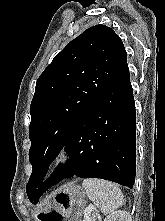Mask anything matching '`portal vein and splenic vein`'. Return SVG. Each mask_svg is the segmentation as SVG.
Here are the masks:
<instances>
[{"mask_svg": "<svg viewBox=\"0 0 165 221\" xmlns=\"http://www.w3.org/2000/svg\"><path fill=\"white\" fill-rule=\"evenodd\" d=\"M92 210H93V207H88V208L86 209V211H87L88 213H90ZM84 221H91V219H90L89 217H87Z\"/></svg>", "mask_w": 165, "mask_h": 221, "instance_id": "obj_1", "label": "portal vein and splenic vein"}]
</instances>
